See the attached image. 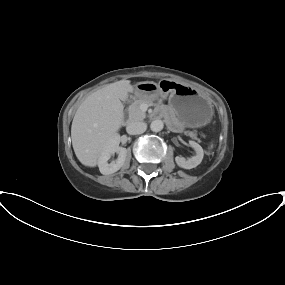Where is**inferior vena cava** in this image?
<instances>
[{
	"instance_id": "602c4592",
	"label": "inferior vena cava",
	"mask_w": 285,
	"mask_h": 285,
	"mask_svg": "<svg viewBox=\"0 0 285 285\" xmlns=\"http://www.w3.org/2000/svg\"><path fill=\"white\" fill-rule=\"evenodd\" d=\"M147 125L144 122L135 121L127 125L126 131L130 135L142 134L146 131Z\"/></svg>"
}]
</instances>
